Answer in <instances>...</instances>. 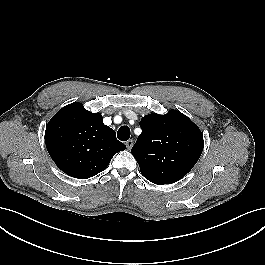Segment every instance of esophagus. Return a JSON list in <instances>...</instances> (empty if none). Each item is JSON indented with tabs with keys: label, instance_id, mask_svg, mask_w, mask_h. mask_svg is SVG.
<instances>
[{
	"label": "esophagus",
	"instance_id": "34e87169",
	"mask_svg": "<svg viewBox=\"0 0 265 265\" xmlns=\"http://www.w3.org/2000/svg\"><path fill=\"white\" fill-rule=\"evenodd\" d=\"M133 146V140L129 139L128 141H126V147L128 150H130Z\"/></svg>",
	"mask_w": 265,
	"mask_h": 265
}]
</instances>
